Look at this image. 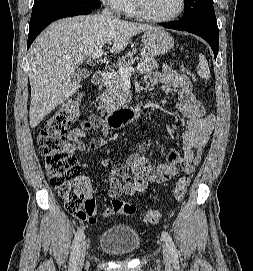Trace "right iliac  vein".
<instances>
[{"instance_id": "right-iliac-vein-1", "label": "right iliac vein", "mask_w": 253, "mask_h": 271, "mask_svg": "<svg viewBox=\"0 0 253 271\" xmlns=\"http://www.w3.org/2000/svg\"><path fill=\"white\" fill-rule=\"evenodd\" d=\"M87 249V242L86 240H82L79 249H78V255H77V270L80 271L85 260V253Z\"/></svg>"}]
</instances>
